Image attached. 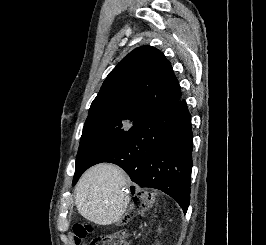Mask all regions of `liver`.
<instances>
[{
	"mask_svg": "<svg viewBox=\"0 0 266 245\" xmlns=\"http://www.w3.org/2000/svg\"><path fill=\"white\" fill-rule=\"evenodd\" d=\"M128 177L115 165H96L82 175L75 191L76 207L95 225L118 223L130 201L126 189Z\"/></svg>",
	"mask_w": 266,
	"mask_h": 245,
	"instance_id": "obj_1",
	"label": "liver"
}]
</instances>
